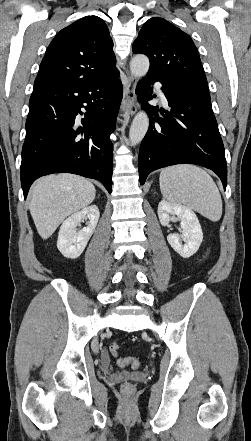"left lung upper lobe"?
I'll return each mask as SVG.
<instances>
[{
    "label": "left lung upper lobe",
    "instance_id": "left-lung-upper-lobe-1",
    "mask_svg": "<svg viewBox=\"0 0 251 441\" xmlns=\"http://www.w3.org/2000/svg\"><path fill=\"white\" fill-rule=\"evenodd\" d=\"M134 53L150 60L146 76L194 84L208 90L198 50L191 37L163 18L147 20L133 43Z\"/></svg>",
    "mask_w": 251,
    "mask_h": 441
}]
</instances>
